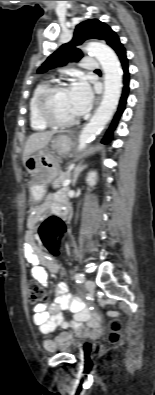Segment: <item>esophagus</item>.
<instances>
[{
	"label": "esophagus",
	"instance_id": "esophagus-1",
	"mask_svg": "<svg viewBox=\"0 0 155 395\" xmlns=\"http://www.w3.org/2000/svg\"><path fill=\"white\" fill-rule=\"evenodd\" d=\"M99 101H100V97H98V98L96 99V102H97V103H99Z\"/></svg>",
	"mask_w": 155,
	"mask_h": 395
}]
</instances>
